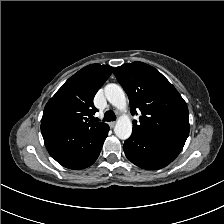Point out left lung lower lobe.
<instances>
[{
	"label": "left lung lower lobe",
	"instance_id": "left-lung-lower-lobe-1",
	"mask_svg": "<svg viewBox=\"0 0 224 224\" xmlns=\"http://www.w3.org/2000/svg\"><path fill=\"white\" fill-rule=\"evenodd\" d=\"M183 146V143L161 136L133 131L124 143V152L135 165L155 170L171 163L181 152Z\"/></svg>",
	"mask_w": 224,
	"mask_h": 224
}]
</instances>
